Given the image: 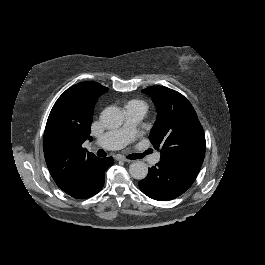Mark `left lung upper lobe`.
<instances>
[{
  "label": "left lung upper lobe",
  "instance_id": "5c2ea615",
  "mask_svg": "<svg viewBox=\"0 0 265 265\" xmlns=\"http://www.w3.org/2000/svg\"><path fill=\"white\" fill-rule=\"evenodd\" d=\"M157 107V121L149 139L161 149L160 160L202 165L205 135L191 103L179 92L162 86L142 90Z\"/></svg>",
  "mask_w": 265,
  "mask_h": 265
}]
</instances>
